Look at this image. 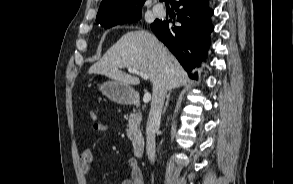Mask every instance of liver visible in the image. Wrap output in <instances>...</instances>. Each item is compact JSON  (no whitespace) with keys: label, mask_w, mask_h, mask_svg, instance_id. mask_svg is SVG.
Masks as SVG:
<instances>
[{"label":"liver","mask_w":293,"mask_h":184,"mask_svg":"<svg viewBox=\"0 0 293 184\" xmlns=\"http://www.w3.org/2000/svg\"><path fill=\"white\" fill-rule=\"evenodd\" d=\"M122 67L134 68L147 74L152 82L153 95L161 88L168 91L179 88L189 80L186 71L170 51L153 34L145 30L125 33L90 67L88 73L138 85L139 78L119 70Z\"/></svg>","instance_id":"liver-1"}]
</instances>
